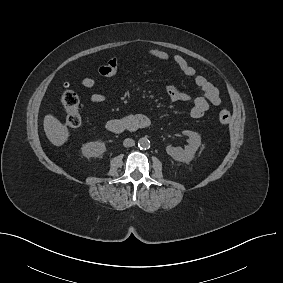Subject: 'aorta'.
Segmentation results:
<instances>
[{
    "mask_svg": "<svg viewBox=\"0 0 283 283\" xmlns=\"http://www.w3.org/2000/svg\"><path fill=\"white\" fill-rule=\"evenodd\" d=\"M138 147L140 149H148L150 147V140L147 137L139 138Z\"/></svg>",
    "mask_w": 283,
    "mask_h": 283,
    "instance_id": "aorta-1",
    "label": "aorta"
}]
</instances>
